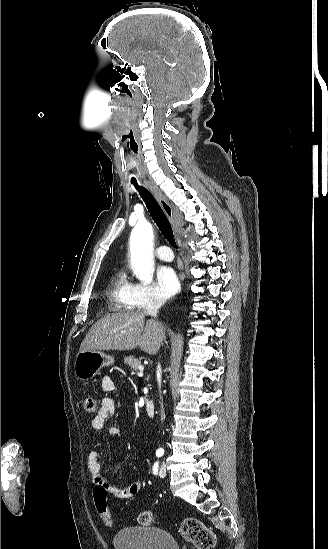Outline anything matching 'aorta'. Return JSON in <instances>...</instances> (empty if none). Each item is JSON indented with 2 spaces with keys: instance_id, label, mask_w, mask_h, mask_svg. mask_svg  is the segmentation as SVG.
<instances>
[{
  "instance_id": "762f6f07",
  "label": "aorta",
  "mask_w": 328,
  "mask_h": 549,
  "mask_svg": "<svg viewBox=\"0 0 328 549\" xmlns=\"http://www.w3.org/2000/svg\"><path fill=\"white\" fill-rule=\"evenodd\" d=\"M152 243L151 224L145 220L138 222L130 238L131 261L136 277L145 284L153 279Z\"/></svg>"
}]
</instances>
